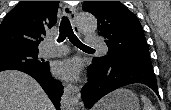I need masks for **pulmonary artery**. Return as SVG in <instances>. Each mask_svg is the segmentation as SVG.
<instances>
[{
	"mask_svg": "<svg viewBox=\"0 0 171 110\" xmlns=\"http://www.w3.org/2000/svg\"><path fill=\"white\" fill-rule=\"evenodd\" d=\"M87 42L89 46L99 48L102 53L108 51L105 42L93 34H87ZM45 45L46 48L42 51V54L46 57L61 56L65 54L67 50L66 47L56 44L52 39H47Z\"/></svg>",
	"mask_w": 171,
	"mask_h": 110,
	"instance_id": "1",
	"label": "pulmonary artery"
}]
</instances>
